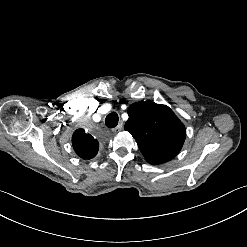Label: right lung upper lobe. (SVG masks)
Segmentation results:
<instances>
[{
	"label": "right lung upper lobe",
	"instance_id": "cb5924a9",
	"mask_svg": "<svg viewBox=\"0 0 247 247\" xmlns=\"http://www.w3.org/2000/svg\"><path fill=\"white\" fill-rule=\"evenodd\" d=\"M72 144L75 152L83 159L93 158L99 149V142L85 130L78 129L72 137Z\"/></svg>",
	"mask_w": 247,
	"mask_h": 247
}]
</instances>
